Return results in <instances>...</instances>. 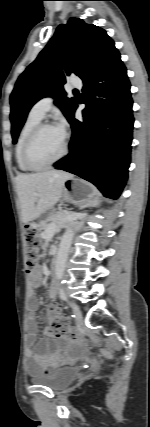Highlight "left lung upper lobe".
Here are the masks:
<instances>
[{
  "mask_svg": "<svg viewBox=\"0 0 150 427\" xmlns=\"http://www.w3.org/2000/svg\"><path fill=\"white\" fill-rule=\"evenodd\" d=\"M115 48L113 40L95 25L79 18L61 24L47 46L19 76L10 96L13 143L30 108L41 98L52 96L67 119L76 104L63 89L66 76L75 73L82 80Z\"/></svg>",
  "mask_w": 150,
  "mask_h": 427,
  "instance_id": "5c2ea615",
  "label": "left lung upper lobe"
}]
</instances>
